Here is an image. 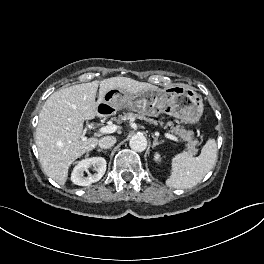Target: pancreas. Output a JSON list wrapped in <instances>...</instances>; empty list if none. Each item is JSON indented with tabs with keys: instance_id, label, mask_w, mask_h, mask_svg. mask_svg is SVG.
I'll return each mask as SVG.
<instances>
[{
	"instance_id": "1",
	"label": "pancreas",
	"mask_w": 264,
	"mask_h": 264,
	"mask_svg": "<svg viewBox=\"0 0 264 264\" xmlns=\"http://www.w3.org/2000/svg\"><path fill=\"white\" fill-rule=\"evenodd\" d=\"M139 118V119H144L148 122L154 123L155 121H153L152 119H147L142 115H137V114H133V113H124L123 115H120L118 118V122H123L125 120H128L130 118ZM161 125H163V122L160 123ZM171 127V132L177 134L182 140L187 142V150L188 152H190L191 154H195L197 152V149L195 148V146L199 145V142L197 140H193L194 138V132L189 130H185L182 126L177 125L176 127L173 126L172 122H168L165 127Z\"/></svg>"
}]
</instances>
